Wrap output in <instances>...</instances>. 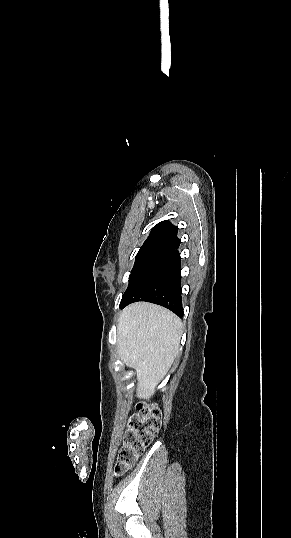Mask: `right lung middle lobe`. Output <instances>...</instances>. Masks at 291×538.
<instances>
[{"instance_id":"dd1d6c3e","label":"right lung middle lobe","mask_w":291,"mask_h":538,"mask_svg":"<svg viewBox=\"0 0 291 538\" xmlns=\"http://www.w3.org/2000/svg\"><path fill=\"white\" fill-rule=\"evenodd\" d=\"M172 252L173 251L169 249H147L137 253L129 277V285L122 296L120 308L129 301L130 296L143 279Z\"/></svg>"}]
</instances>
